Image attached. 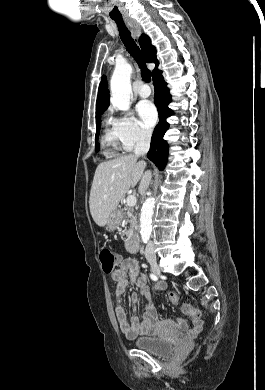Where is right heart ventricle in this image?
<instances>
[{
  "label": "right heart ventricle",
  "mask_w": 265,
  "mask_h": 390,
  "mask_svg": "<svg viewBox=\"0 0 265 390\" xmlns=\"http://www.w3.org/2000/svg\"><path fill=\"white\" fill-rule=\"evenodd\" d=\"M107 124L108 126L106 127L102 138L103 147L107 155H116L122 145L113 126H110L112 124L111 120H108Z\"/></svg>",
  "instance_id": "obj_1"
}]
</instances>
